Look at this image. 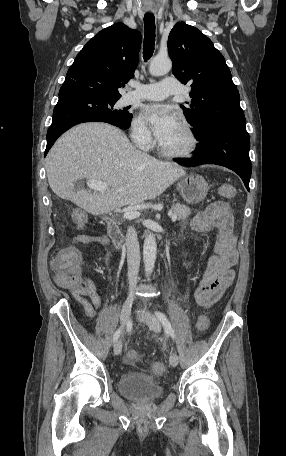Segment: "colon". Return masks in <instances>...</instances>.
I'll return each instance as SVG.
<instances>
[{"mask_svg":"<svg viewBox=\"0 0 286 456\" xmlns=\"http://www.w3.org/2000/svg\"><path fill=\"white\" fill-rule=\"evenodd\" d=\"M219 193L224 197H233L236 194L234 186L222 184L219 186ZM75 222L78 225L84 224V217L75 216ZM81 255L73 246H67L60 250L53 260V267L56 271L55 280L57 284L71 291H78L85 285V279L80 267ZM209 325V318L206 315L200 316L196 321V328L199 331H205ZM139 356L135 353H128L125 362L135 364ZM154 375L161 376L165 373V366L162 362H154L152 365Z\"/></svg>","mask_w":286,"mask_h":456,"instance_id":"colon-1","label":"colon"}]
</instances>
